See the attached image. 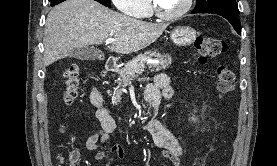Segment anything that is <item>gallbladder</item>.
I'll return each instance as SVG.
<instances>
[{"mask_svg":"<svg viewBox=\"0 0 277 166\" xmlns=\"http://www.w3.org/2000/svg\"><path fill=\"white\" fill-rule=\"evenodd\" d=\"M71 56L80 60H96L100 59L102 54L93 47H83L74 49Z\"/></svg>","mask_w":277,"mask_h":166,"instance_id":"bac80fb5","label":"gallbladder"}]
</instances>
